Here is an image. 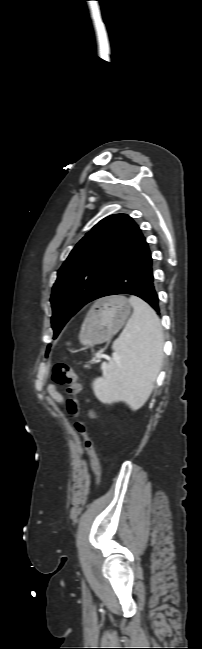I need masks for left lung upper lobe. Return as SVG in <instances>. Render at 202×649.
I'll return each mask as SVG.
<instances>
[{"label": "left lung upper lobe", "instance_id": "left-lung-upper-lobe-1", "mask_svg": "<svg viewBox=\"0 0 202 649\" xmlns=\"http://www.w3.org/2000/svg\"><path fill=\"white\" fill-rule=\"evenodd\" d=\"M139 233L131 217L115 214L101 220L77 243L58 270L52 289L54 338L77 311L94 299Z\"/></svg>", "mask_w": 202, "mask_h": 649}]
</instances>
